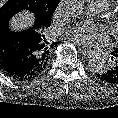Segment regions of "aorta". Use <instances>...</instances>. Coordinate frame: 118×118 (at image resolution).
<instances>
[{"label": "aorta", "mask_w": 118, "mask_h": 118, "mask_svg": "<svg viewBox=\"0 0 118 118\" xmlns=\"http://www.w3.org/2000/svg\"><path fill=\"white\" fill-rule=\"evenodd\" d=\"M62 10L70 18H80L85 12L84 0H63ZM91 72L100 74L106 71V62L101 58H94L89 61Z\"/></svg>", "instance_id": "aorta-1"}]
</instances>
